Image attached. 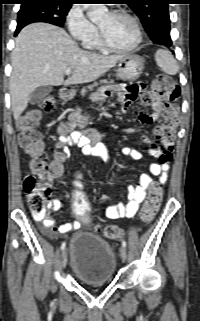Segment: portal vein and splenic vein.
Here are the masks:
<instances>
[{"label": "portal vein and splenic vein", "mask_w": 200, "mask_h": 321, "mask_svg": "<svg viewBox=\"0 0 200 321\" xmlns=\"http://www.w3.org/2000/svg\"><path fill=\"white\" fill-rule=\"evenodd\" d=\"M71 72H72V70H71V69H67V70H65V74H66V75L71 74Z\"/></svg>", "instance_id": "obj_1"}]
</instances>
